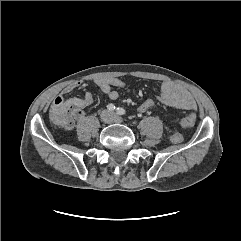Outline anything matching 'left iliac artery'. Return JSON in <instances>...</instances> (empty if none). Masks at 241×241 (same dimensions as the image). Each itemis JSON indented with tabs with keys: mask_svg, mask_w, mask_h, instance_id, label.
I'll use <instances>...</instances> for the list:
<instances>
[{
	"mask_svg": "<svg viewBox=\"0 0 241 241\" xmlns=\"http://www.w3.org/2000/svg\"><path fill=\"white\" fill-rule=\"evenodd\" d=\"M116 110L119 115H124L126 113V110L122 107H118Z\"/></svg>",
	"mask_w": 241,
	"mask_h": 241,
	"instance_id": "1",
	"label": "left iliac artery"
}]
</instances>
